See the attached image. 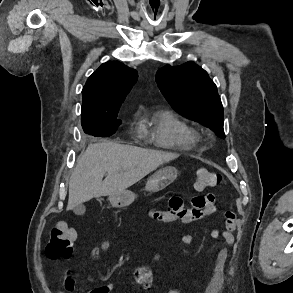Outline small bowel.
Here are the masks:
<instances>
[{
  "instance_id": "c3829d8e",
  "label": "small bowel",
  "mask_w": 293,
  "mask_h": 293,
  "mask_svg": "<svg viewBox=\"0 0 293 293\" xmlns=\"http://www.w3.org/2000/svg\"><path fill=\"white\" fill-rule=\"evenodd\" d=\"M192 208H185L183 201L180 197L174 196L163 205L152 208L149 211L151 219L159 223H194L200 221L203 217L213 214L216 211V198L213 193H207L205 195L195 196L192 199ZM76 233V232H75ZM214 238H222L227 245L231 246L235 242V237L231 232H220L217 229L211 232ZM193 242V236L190 232H186L182 236V243L186 247H191ZM111 249V243L108 240L100 242L91 249V256L94 259H100L105 253ZM227 250L221 249L217 254V259L213 267L210 281L204 291V293H218L223 283V272L225 262L227 260ZM135 281L143 288H149L153 282L152 272L148 267L139 266L135 270ZM75 282L70 274H68L64 280L65 291H59L58 293H73L75 291ZM115 288L113 282H108L96 289H92L89 293H112ZM166 293H181L178 289H169Z\"/></svg>"
}]
</instances>
